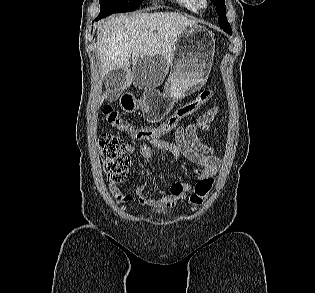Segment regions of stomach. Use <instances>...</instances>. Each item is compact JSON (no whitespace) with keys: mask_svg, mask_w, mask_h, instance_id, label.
<instances>
[{"mask_svg":"<svg viewBox=\"0 0 315 293\" xmlns=\"http://www.w3.org/2000/svg\"><path fill=\"white\" fill-rule=\"evenodd\" d=\"M215 52L214 34L204 26L186 27L178 37L171 59V70L164 92H123L120 106L126 112L141 108L144 118L158 122L167 115L174 104L199 90L207 81Z\"/></svg>","mask_w":315,"mask_h":293,"instance_id":"stomach-1","label":"stomach"}]
</instances>
